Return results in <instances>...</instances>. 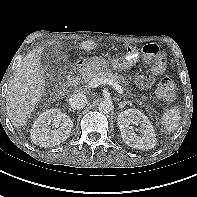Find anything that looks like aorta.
Wrapping results in <instances>:
<instances>
[{"label":"aorta","instance_id":"obj_1","mask_svg":"<svg viewBox=\"0 0 197 197\" xmlns=\"http://www.w3.org/2000/svg\"><path fill=\"white\" fill-rule=\"evenodd\" d=\"M98 109L101 113L108 114L113 110V104L110 100H103L99 103Z\"/></svg>","mask_w":197,"mask_h":197}]
</instances>
